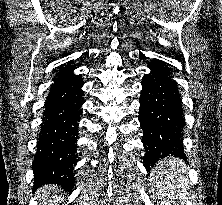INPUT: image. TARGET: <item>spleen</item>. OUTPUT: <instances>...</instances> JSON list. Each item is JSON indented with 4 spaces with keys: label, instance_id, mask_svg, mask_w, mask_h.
<instances>
[{
    "label": "spleen",
    "instance_id": "3e777b00",
    "mask_svg": "<svg viewBox=\"0 0 222 205\" xmlns=\"http://www.w3.org/2000/svg\"><path fill=\"white\" fill-rule=\"evenodd\" d=\"M185 169L184 162L177 158L164 159L155 166L150 182L160 205H184L188 200Z\"/></svg>",
    "mask_w": 222,
    "mask_h": 205
}]
</instances>
